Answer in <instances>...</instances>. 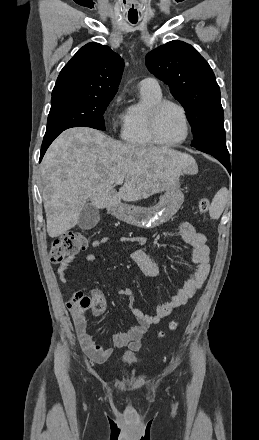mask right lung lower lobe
Instances as JSON below:
<instances>
[{
    "label": "right lung lower lobe",
    "mask_w": 259,
    "mask_h": 440,
    "mask_svg": "<svg viewBox=\"0 0 259 440\" xmlns=\"http://www.w3.org/2000/svg\"><path fill=\"white\" fill-rule=\"evenodd\" d=\"M62 131L55 133L51 136H44L42 147H41V153H40V161L42 160L47 148L49 145L53 142V140L61 133Z\"/></svg>",
    "instance_id": "right-lung-lower-lobe-1"
}]
</instances>
